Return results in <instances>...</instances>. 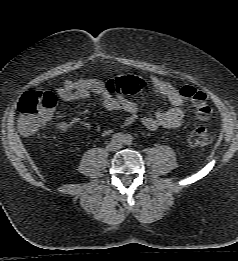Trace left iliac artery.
<instances>
[{
	"label": "left iliac artery",
	"mask_w": 238,
	"mask_h": 261,
	"mask_svg": "<svg viewBox=\"0 0 238 261\" xmlns=\"http://www.w3.org/2000/svg\"><path fill=\"white\" fill-rule=\"evenodd\" d=\"M132 142H133V137H132L131 135L127 134V135L125 136V138H124V143H125L126 145H131Z\"/></svg>",
	"instance_id": "1"
}]
</instances>
